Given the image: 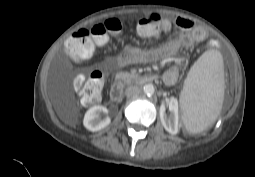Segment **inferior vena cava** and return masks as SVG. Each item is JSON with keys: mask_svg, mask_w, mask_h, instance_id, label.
<instances>
[{"mask_svg": "<svg viewBox=\"0 0 255 177\" xmlns=\"http://www.w3.org/2000/svg\"><path fill=\"white\" fill-rule=\"evenodd\" d=\"M141 92L140 88L136 86H130L125 90V94L127 97L137 96Z\"/></svg>", "mask_w": 255, "mask_h": 177, "instance_id": "1", "label": "inferior vena cava"}]
</instances>
